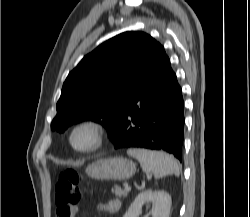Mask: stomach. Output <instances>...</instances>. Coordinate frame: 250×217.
Masks as SVG:
<instances>
[{"label": "stomach", "mask_w": 250, "mask_h": 217, "mask_svg": "<svg viewBox=\"0 0 250 217\" xmlns=\"http://www.w3.org/2000/svg\"><path fill=\"white\" fill-rule=\"evenodd\" d=\"M136 171L133 161L122 157L100 159L86 168V173L96 180H126Z\"/></svg>", "instance_id": "stomach-1"}]
</instances>
